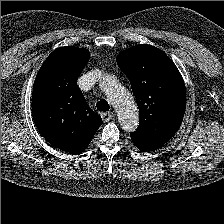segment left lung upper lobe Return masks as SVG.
I'll return each mask as SVG.
<instances>
[{"label":"left lung upper lobe","mask_w":224,"mask_h":224,"mask_svg":"<svg viewBox=\"0 0 224 224\" xmlns=\"http://www.w3.org/2000/svg\"><path fill=\"white\" fill-rule=\"evenodd\" d=\"M117 64L129 78L139 108L136 131L165 144L179 129L186 108L179 70L162 50L144 44L119 54Z\"/></svg>","instance_id":"obj_1"}]
</instances>
